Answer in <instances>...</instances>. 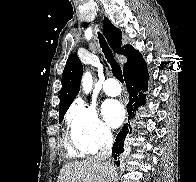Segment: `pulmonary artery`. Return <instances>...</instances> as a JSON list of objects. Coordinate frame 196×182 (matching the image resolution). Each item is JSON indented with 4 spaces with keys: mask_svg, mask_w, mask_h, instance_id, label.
I'll return each mask as SVG.
<instances>
[{
    "mask_svg": "<svg viewBox=\"0 0 196 182\" xmlns=\"http://www.w3.org/2000/svg\"><path fill=\"white\" fill-rule=\"evenodd\" d=\"M103 91L109 96H117L121 93V86L117 79L109 77L103 84Z\"/></svg>",
    "mask_w": 196,
    "mask_h": 182,
    "instance_id": "1",
    "label": "pulmonary artery"
}]
</instances>
